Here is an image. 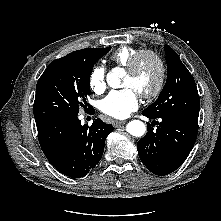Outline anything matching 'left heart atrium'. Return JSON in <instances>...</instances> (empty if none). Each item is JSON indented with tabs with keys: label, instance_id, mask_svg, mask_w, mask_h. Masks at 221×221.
I'll return each instance as SVG.
<instances>
[{
	"label": "left heart atrium",
	"instance_id": "left-heart-atrium-1",
	"mask_svg": "<svg viewBox=\"0 0 221 221\" xmlns=\"http://www.w3.org/2000/svg\"><path fill=\"white\" fill-rule=\"evenodd\" d=\"M138 93L131 87L111 91L100 101V110L113 118L124 119L138 108Z\"/></svg>",
	"mask_w": 221,
	"mask_h": 221
}]
</instances>
